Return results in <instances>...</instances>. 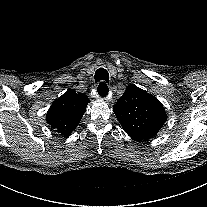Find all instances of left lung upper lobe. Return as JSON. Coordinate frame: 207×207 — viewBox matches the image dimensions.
Masks as SVG:
<instances>
[{
  "mask_svg": "<svg viewBox=\"0 0 207 207\" xmlns=\"http://www.w3.org/2000/svg\"><path fill=\"white\" fill-rule=\"evenodd\" d=\"M113 111L124 131L138 141L153 138L167 119L162 103L133 84L126 88Z\"/></svg>",
  "mask_w": 207,
  "mask_h": 207,
  "instance_id": "1",
  "label": "left lung upper lobe"
}]
</instances>
